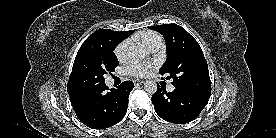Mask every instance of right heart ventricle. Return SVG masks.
Here are the masks:
<instances>
[{
    "mask_svg": "<svg viewBox=\"0 0 276 138\" xmlns=\"http://www.w3.org/2000/svg\"><path fill=\"white\" fill-rule=\"evenodd\" d=\"M135 38L150 50L153 47L161 46L162 44L161 36L154 31H143L136 35Z\"/></svg>",
    "mask_w": 276,
    "mask_h": 138,
    "instance_id": "obj_1",
    "label": "right heart ventricle"
}]
</instances>
